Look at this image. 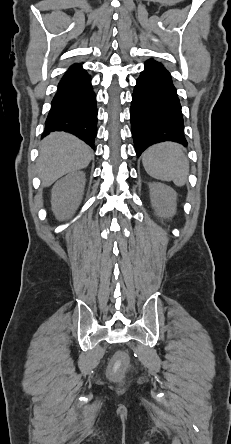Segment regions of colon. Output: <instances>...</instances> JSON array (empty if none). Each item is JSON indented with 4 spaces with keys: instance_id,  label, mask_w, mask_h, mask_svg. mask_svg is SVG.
Instances as JSON below:
<instances>
[{
    "instance_id": "colon-1",
    "label": "colon",
    "mask_w": 231,
    "mask_h": 444,
    "mask_svg": "<svg viewBox=\"0 0 231 444\" xmlns=\"http://www.w3.org/2000/svg\"><path fill=\"white\" fill-rule=\"evenodd\" d=\"M128 364V359L125 354L118 353L114 356L109 366V374L115 379L122 377L124 371L126 370Z\"/></svg>"
}]
</instances>
